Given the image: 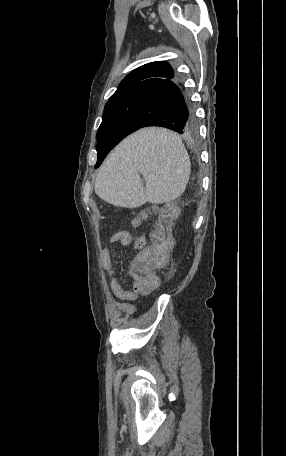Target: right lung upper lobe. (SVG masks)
<instances>
[{"label":"right lung upper lobe","instance_id":"cb5924a9","mask_svg":"<svg viewBox=\"0 0 286 456\" xmlns=\"http://www.w3.org/2000/svg\"><path fill=\"white\" fill-rule=\"evenodd\" d=\"M173 76L172 67L165 61L145 64L133 70L121 81L117 91L110 97L108 102L121 99L134 90L158 81L171 79Z\"/></svg>","mask_w":286,"mask_h":456}]
</instances>
